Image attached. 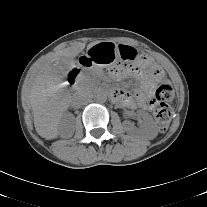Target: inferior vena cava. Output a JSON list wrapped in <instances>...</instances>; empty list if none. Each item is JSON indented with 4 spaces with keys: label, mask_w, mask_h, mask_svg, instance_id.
<instances>
[{
    "label": "inferior vena cava",
    "mask_w": 207,
    "mask_h": 207,
    "mask_svg": "<svg viewBox=\"0 0 207 207\" xmlns=\"http://www.w3.org/2000/svg\"><path fill=\"white\" fill-rule=\"evenodd\" d=\"M93 99V94L88 90L79 91L75 96V102L79 105L88 104Z\"/></svg>",
    "instance_id": "inferior-vena-cava-1"
}]
</instances>
